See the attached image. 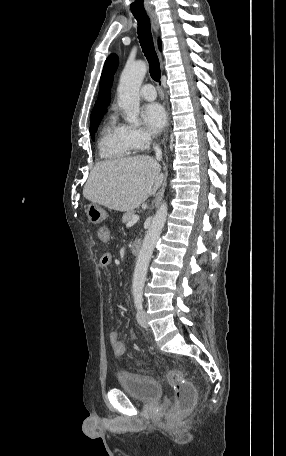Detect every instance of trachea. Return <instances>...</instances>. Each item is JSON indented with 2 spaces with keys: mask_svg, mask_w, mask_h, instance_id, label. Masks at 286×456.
Wrapping results in <instances>:
<instances>
[{
  "mask_svg": "<svg viewBox=\"0 0 286 456\" xmlns=\"http://www.w3.org/2000/svg\"><path fill=\"white\" fill-rule=\"evenodd\" d=\"M133 15L138 22V39L142 51L149 63L150 76L154 81L160 82V63L154 48L150 19L146 12L133 13Z\"/></svg>",
  "mask_w": 286,
  "mask_h": 456,
  "instance_id": "trachea-1",
  "label": "trachea"
}]
</instances>
